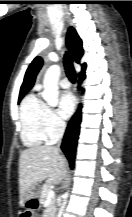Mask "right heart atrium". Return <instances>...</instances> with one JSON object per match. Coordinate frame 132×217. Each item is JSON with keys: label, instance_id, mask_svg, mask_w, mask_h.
<instances>
[{"label": "right heart atrium", "instance_id": "obj_1", "mask_svg": "<svg viewBox=\"0 0 132 217\" xmlns=\"http://www.w3.org/2000/svg\"><path fill=\"white\" fill-rule=\"evenodd\" d=\"M65 129L64 121L57 115V113L48 109L45 118V132L47 137L51 140L60 136Z\"/></svg>", "mask_w": 132, "mask_h": 217}]
</instances>
